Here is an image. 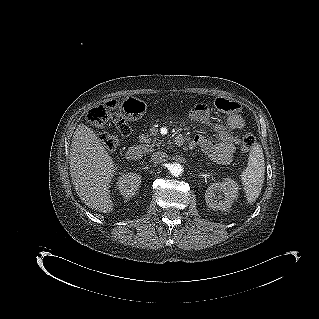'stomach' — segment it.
<instances>
[{"instance_id": "1", "label": "stomach", "mask_w": 319, "mask_h": 319, "mask_svg": "<svg viewBox=\"0 0 319 319\" xmlns=\"http://www.w3.org/2000/svg\"><path fill=\"white\" fill-rule=\"evenodd\" d=\"M205 112V109L202 105L195 104L194 106L191 107L190 109V116L192 118H198L201 115H203Z\"/></svg>"}]
</instances>
